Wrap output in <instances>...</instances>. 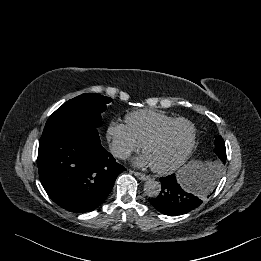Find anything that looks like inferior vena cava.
Here are the masks:
<instances>
[{"mask_svg": "<svg viewBox=\"0 0 261 261\" xmlns=\"http://www.w3.org/2000/svg\"><path fill=\"white\" fill-rule=\"evenodd\" d=\"M112 153L115 157L120 159H126L130 156V151L125 148H113Z\"/></svg>", "mask_w": 261, "mask_h": 261, "instance_id": "inferior-vena-cava-1", "label": "inferior vena cava"}]
</instances>
